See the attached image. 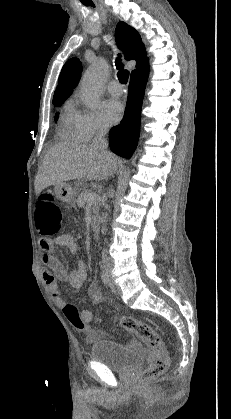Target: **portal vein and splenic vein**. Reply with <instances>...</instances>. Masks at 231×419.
<instances>
[{
    "mask_svg": "<svg viewBox=\"0 0 231 419\" xmlns=\"http://www.w3.org/2000/svg\"><path fill=\"white\" fill-rule=\"evenodd\" d=\"M86 198H87V200H88L89 203H92L94 200L97 199V194L94 193V192L88 193L86 195Z\"/></svg>",
    "mask_w": 231,
    "mask_h": 419,
    "instance_id": "1",
    "label": "portal vein and splenic vein"
}]
</instances>
